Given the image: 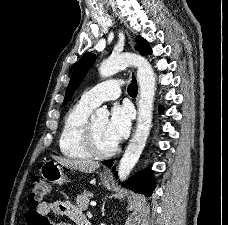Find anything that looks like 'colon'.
I'll list each match as a JSON object with an SVG mask.
<instances>
[{
  "label": "colon",
  "instance_id": "obj_1",
  "mask_svg": "<svg viewBox=\"0 0 228 225\" xmlns=\"http://www.w3.org/2000/svg\"><path fill=\"white\" fill-rule=\"evenodd\" d=\"M49 191L50 188L46 186L40 177H33L29 183V204L31 206H39L42 204L43 198L49 195Z\"/></svg>",
  "mask_w": 228,
  "mask_h": 225
}]
</instances>
